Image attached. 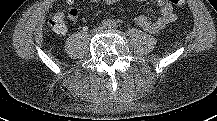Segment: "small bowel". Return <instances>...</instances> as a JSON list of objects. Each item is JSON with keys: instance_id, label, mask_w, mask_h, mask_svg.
<instances>
[{"instance_id": "c3829d8e", "label": "small bowel", "mask_w": 217, "mask_h": 121, "mask_svg": "<svg viewBox=\"0 0 217 121\" xmlns=\"http://www.w3.org/2000/svg\"><path fill=\"white\" fill-rule=\"evenodd\" d=\"M75 0H65L68 5L67 16L70 20L75 21L78 18L79 12L73 7ZM92 3L100 2L101 0H90ZM106 4H115L120 0H103ZM137 2H143L146 0H135ZM160 11V16L157 19H150L145 15H138L134 18V22L137 26L150 33H155L167 24L175 20V14L172 6L168 0H155Z\"/></svg>"}]
</instances>
